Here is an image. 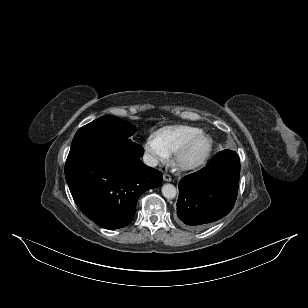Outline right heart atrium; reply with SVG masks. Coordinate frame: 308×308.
<instances>
[{
  "label": "right heart atrium",
  "mask_w": 308,
  "mask_h": 308,
  "mask_svg": "<svg viewBox=\"0 0 308 308\" xmlns=\"http://www.w3.org/2000/svg\"><path fill=\"white\" fill-rule=\"evenodd\" d=\"M146 161L151 166H156L168 161L169 152L159 143L154 135L149 136L143 145Z\"/></svg>",
  "instance_id": "d8ad5b80"
}]
</instances>
